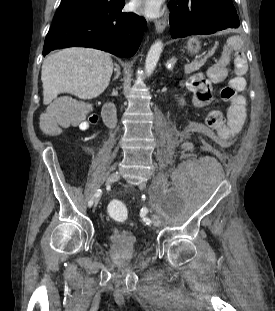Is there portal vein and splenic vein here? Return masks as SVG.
<instances>
[{"label":"portal vein and splenic vein","mask_w":275,"mask_h":311,"mask_svg":"<svg viewBox=\"0 0 275 311\" xmlns=\"http://www.w3.org/2000/svg\"><path fill=\"white\" fill-rule=\"evenodd\" d=\"M212 53H213V52H210L208 56H211V55H212ZM205 61H206V60L204 59L203 63H202V64H200L198 67H200L201 65H203Z\"/></svg>","instance_id":"portal-vein-and-splenic-vein-1"}]
</instances>
